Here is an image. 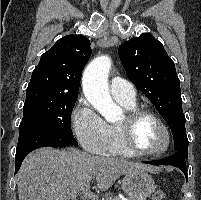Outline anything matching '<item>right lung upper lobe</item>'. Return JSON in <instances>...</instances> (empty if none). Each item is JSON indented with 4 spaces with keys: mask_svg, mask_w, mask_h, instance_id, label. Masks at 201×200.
I'll return each mask as SVG.
<instances>
[{
    "mask_svg": "<svg viewBox=\"0 0 201 200\" xmlns=\"http://www.w3.org/2000/svg\"><path fill=\"white\" fill-rule=\"evenodd\" d=\"M91 55L90 41L67 35L45 52L33 70L27 93L52 92L78 97L80 77Z\"/></svg>",
    "mask_w": 201,
    "mask_h": 200,
    "instance_id": "cb5924a9",
    "label": "right lung upper lobe"
}]
</instances>
